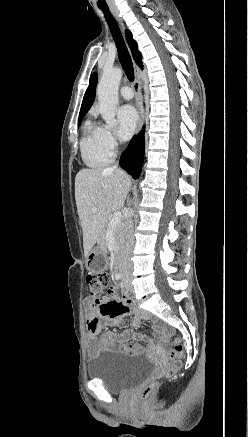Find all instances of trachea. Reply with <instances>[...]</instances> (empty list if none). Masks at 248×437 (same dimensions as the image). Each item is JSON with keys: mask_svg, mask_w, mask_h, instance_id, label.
<instances>
[{"mask_svg": "<svg viewBox=\"0 0 248 437\" xmlns=\"http://www.w3.org/2000/svg\"><path fill=\"white\" fill-rule=\"evenodd\" d=\"M100 9L102 10L105 19L109 25L112 37L117 47L118 57L125 71V74L130 81H133L134 68H133L132 60L128 52V49L126 47V44L124 42V39L122 37L119 26L108 8L101 7Z\"/></svg>", "mask_w": 248, "mask_h": 437, "instance_id": "1", "label": "trachea"}]
</instances>
